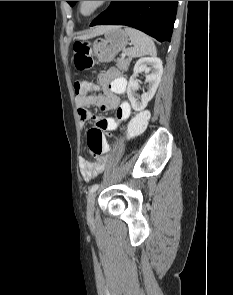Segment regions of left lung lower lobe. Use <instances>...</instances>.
I'll use <instances>...</instances> for the list:
<instances>
[{"label": "left lung lower lobe", "mask_w": 233, "mask_h": 295, "mask_svg": "<svg viewBox=\"0 0 233 295\" xmlns=\"http://www.w3.org/2000/svg\"><path fill=\"white\" fill-rule=\"evenodd\" d=\"M178 1H112L90 26L127 25L160 42L171 41Z\"/></svg>", "instance_id": "0a47b994"}]
</instances>
